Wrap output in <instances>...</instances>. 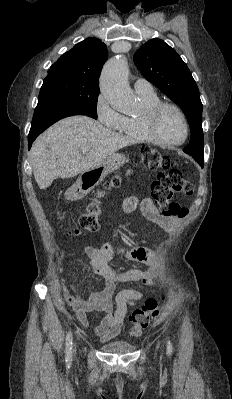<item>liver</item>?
Wrapping results in <instances>:
<instances>
[{"mask_svg": "<svg viewBox=\"0 0 232 399\" xmlns=\"http://www.w3.org/2000/svg\"><path fill=\"white\" fill-rule=\"evenodd\" d=\"M132 144V138L107 130L87 116L64 118L34 142L30 150L34 178L45 190L56 178H74L97 168L107 156ZM82 148L89 150L85 156Z\"/></svg>", "mask_w": 232, "mask_h": 399, "instance_id": "6515ba94", "label": "liver"}]
</instances>
